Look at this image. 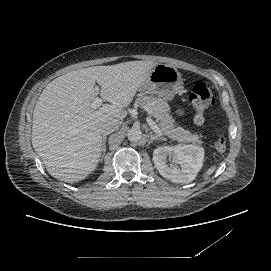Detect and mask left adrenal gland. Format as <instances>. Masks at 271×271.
I'll use <instances>...</instances> for the list:
<instances>
[{
  "instance_id": "obj_1",
  "label": "left adrenal gland",
  "mask_w": 271,
  "mask_h": 271,
  "mask_svg": "<svg viewBox=\"0 0 271 271\" xmlns=\"http://www.w3.org/2000/svg\"><path fill=\"white\" fill-rule=\"evenodd\" d=\"M165 139L162 137H158L157 135H154L152 132L150 133V144H153L155 141H164Z\"/></svg>"
}]
</instances>
